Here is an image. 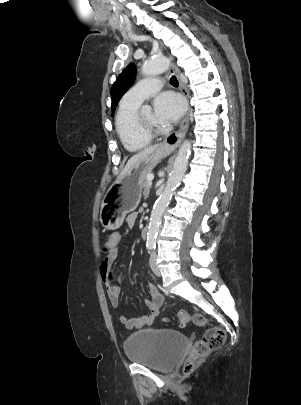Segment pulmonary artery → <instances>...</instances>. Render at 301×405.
Masks as SVG:
<instances>
[{"label": "pulmonary artery", "mask_w": 301, "mask_h": 405, "mask_svg": "<svg viewBox=\"0 0 301 405\" xmlns=\"http://www.w3.org/2000/svg\"><path fill=\"white\" fill-rule=\"evenodd\" d=\"M162 81L156 77H148L135 84L123 97L122 102L139 106L145 99L154 95L162 88Z\"/></svg>", "instance_id": "pulmonary-artery-1"}]
</instances>
